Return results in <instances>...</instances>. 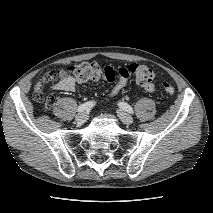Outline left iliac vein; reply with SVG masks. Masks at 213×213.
I'll use <instances>...</instances> for the list:
<instances>
[{
  "instance_id": "obj_1",
  "label": "left iliac vein",
  "mask_w": 213,
  "mask_h": 213,
  "mask_svg": "<svg viewBox=\"0 0 213 213\" xmlns=\"http://www.w3.org/2000/svg\"><path fill=\"white\" fill-rule=\"evenodd\" d=\"M117 115L124 124L130 125L133 123V118L123 110L118 109Z\"/></svg>"
}]
</instances>
